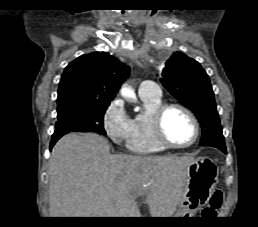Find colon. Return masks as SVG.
Wrapping results in <instances>:
<instances>
[{
    "mask_svg": "<svg viewBox=\"0 0 258 227\" xmlns=\"http://www.w3.org/2000/svg\"><path fill=\"white\" fill-rule=\"evenodd\" d=\"M223 193L221 190H215L209 200L207 206L203 209L204 215H214L216 211L222 206Z\"/></svg>",
    "mask_w": 258,
    "mask_h": 227,
    "instance_id": "5ec220e1",
    "label": "colon"
}]
</instances>
